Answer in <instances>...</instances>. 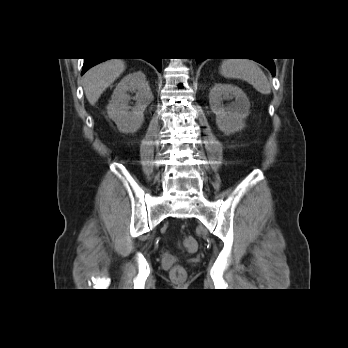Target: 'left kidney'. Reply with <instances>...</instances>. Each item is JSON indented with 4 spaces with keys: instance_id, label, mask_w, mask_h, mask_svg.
<instances>
[{
    "instance_id": "1",
    "label": "left kidney",
    "mask_w": 348,
    "mask_h": 348,
    "mask_svg": "<svg viewBox=\"0 0 348 348\" xmlns=\"http://www.w3.org/2000/svg\"><path fill=\"white\" fill-rule=\"evenodd\" d=\"M232 99L235 100L230 104H223L224 100ZM209 104L216 115V124L223 133L232 134L245 126L244 119L249 114L250 101L239 87L216 83L210 90Z\"/></svg>"
}]
</instances>
